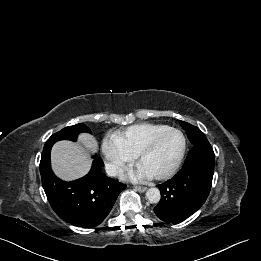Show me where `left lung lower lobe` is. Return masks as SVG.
<instances>
[{
	"label": "left lung lower lobe",
	"instance_id": "left-lung-lower-lobe-1",
	"mask_svg": "<svg viewBox=\"0 0 261 261\" xmlns=\"http://www.w3.org/2000/svg\"><path fill=\"white\" fill-rule=\"evenodd\" d=\"M215 155L207 139L193 146L183 168L169 181L157 185L161 200L155 214L167 223L180 222L206 201L212 184Z\"/></svg>",
	"mask_w": 261,
	"mask_h": 261
}]
</instances>
